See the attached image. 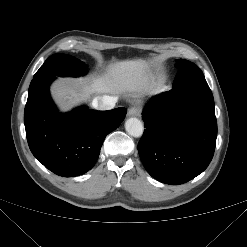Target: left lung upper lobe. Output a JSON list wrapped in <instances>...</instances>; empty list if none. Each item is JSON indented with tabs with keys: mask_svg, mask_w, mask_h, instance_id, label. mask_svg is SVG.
<instances>
[{
	"mask_svg": "<svg viewBox=\"0 0 247 247\" xmlns=\"http://www.w3.org/2000/svg\"><path fill=\"white\" fill-rule=\"evenodd\" d=\"M175 66H177L179 70L174 79L173 87L207 85L202 71L194 63L188 60L179 59Z\"/></svg>",
	"mask_w": 247,
	"mask_h": 247,
	"instance_id": "left-lung-upper-lobe-1",
	"label": "left lung upper lobe"
}]
</instances>
